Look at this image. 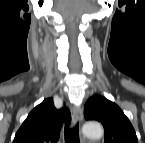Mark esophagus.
Segmentation results:
<instances>
[{
  "instance_id": "esophagus-1",
  "label": "esophagus",
  "mask_w": 145,
  "mask_h": 143,
  "mask_svg": "<svg viewBox=\"0 0 145 143\" xmlns=\"http://www.w3.org/2000/svg\"><path fill=\"white\" fill-rule=\"evenodd\" d=\"M71 114H72V121L74 124H81L83 121V112L80 107H72L71 109Z\"/></svg>"
}]
</instances>
